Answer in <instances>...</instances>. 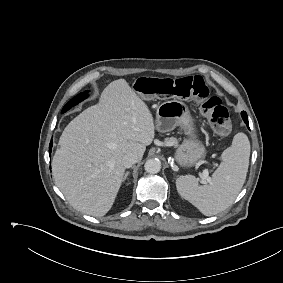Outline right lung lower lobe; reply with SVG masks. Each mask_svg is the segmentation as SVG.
Returning <instances> with one entry per match:
<instances>
[{
	"label": "right lung lower lobe",
	"mask_w": 283,
	"mask_h": 283,
	"mask_svg": "<svg viewBox=\"0 0 283 283\" xmlns=\"http://www.w3.org/2000/svg\"><path fill=\"white\" fill-rule=\"evenodd\" d=\"M53 142H50V146H49V153H51V148H52Z\"/></svg>",
	"instance_id": "right-lung-lower-lobe-1"
}]
</instances>
